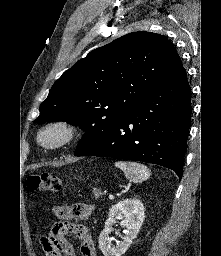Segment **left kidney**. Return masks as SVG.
I'll return each mask as SVG.
<instances>
[{"label":"left kidney","instance_id":"5707ae66","mask_svg":"<svg viewBox=\"0 0 221 256\" xmlns=\"http://www.w3.org/2000/svg\"><path fill=\"white\" fill-rule=\"evenodd\" d=\"M144 206L138 199H125L112 206L109 217L105 223V228L99 236V247L104 256H121L124 254L133 239L136 238L144 221ZM121 220L120 224L125 227L123 241L116 247H111L109 234L116 220Z\"/></svg>","mask_w":221,"mask_h":256}]
</instances>
